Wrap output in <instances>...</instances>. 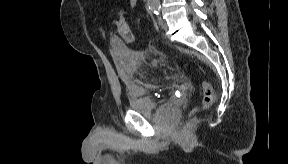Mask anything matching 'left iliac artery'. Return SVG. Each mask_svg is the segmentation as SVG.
Segmentation results:
<instances>
[{
  "instance_id": "1",
  "label": "left iliac artery",
  "mask_w": 288,
  "mask_h": 164,
  "mask_svg": "<svg viewBox=\"0 0 288 164\" xmlns=\"http://www.w3.org/2000/svg\"><path fill=\"white\" fill-rule=\"evenodd\" d=\"M149 9L156 15L159 14L160 11V1L159 0H148Z\"/></svg>"
}]
</instances>
